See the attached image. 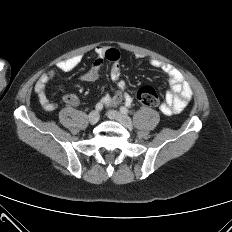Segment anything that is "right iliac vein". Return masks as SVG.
Listing matches in <instances>:
<instances>
[{
	"instance_id": "right-iliac-vein-1",
	"label": "right iliac vein",
	"mask_w": 232,
	"mask_h": 232,
	"mask_svg": "<svg viewBox=\"0 0 232 232\" xmlns=\"http://www.w3.org/2000/svg\"><path fill=\"white\" fill-rule=\"evenodd\" d=\"M99 113L97 111H92L89 115H88V121L91 124H96L99 121Z\"/></svg>"
}]
</instances>
